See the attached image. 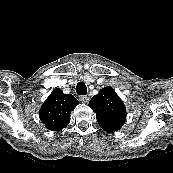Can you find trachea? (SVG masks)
<instances>
[{
    "label": "trachea",
    "instance_id": "3493384b",
    "mask_svg": "<svg viewBox=\"0 0 173 173\" xmlns=\"http://www.w3.org/2000/svg\"><path fill=\"white\" fill-rule=\"evenodd\" d=\"M76 92L78 95H85L87 93V87L85 83L79 82L76 86Z\"/></svg>",
    "mask_w": 173,
    "mask_h": 173
}]
</instances>
